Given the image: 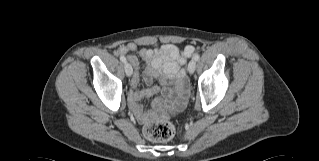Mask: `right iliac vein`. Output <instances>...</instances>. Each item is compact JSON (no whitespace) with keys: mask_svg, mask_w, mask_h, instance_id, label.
<instances>
[{"mask_svg":"<svg viewBox=\"0 0 319 161\" xmlns=\"http://www.w3.org/2000/svg\"><path fill=\"white\" fill-rule=\"evenodd\" d=\"M125 73L128 77H130L133 73V68L130 63H125L124 65Z\"/></svg>","mask_w":319,"mask_h":161,"instance_id":"63e3f726","label":"right iliac vein"}]
</instances>
